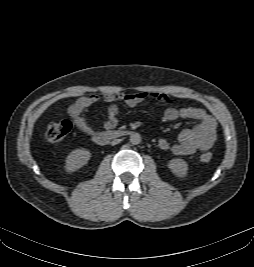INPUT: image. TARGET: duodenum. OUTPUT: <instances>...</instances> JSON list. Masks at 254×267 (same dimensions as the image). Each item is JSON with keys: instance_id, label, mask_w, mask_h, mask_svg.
Returning a JSON list of instances; mask_svg holds the SVG:
<instances>
[{"instance_id": "410a0bca", "label": "duodenum", "mask_w": 254, "mask_h": 267, "mask_svg": "<svg viewBox=\"0 0 254 267\" xmlns=\"http://www.w3.org/2000/svg\"><path fill=\"white\" fill-rule=\"evenodd\" d=\"M131 133L129 130H108L96 134L93 139L99 145H105L112 139L127 136Z\"/></svg>"}]
</instances>
